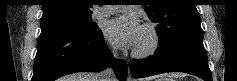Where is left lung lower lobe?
I'll list each match as a JSON object with an SVG mask.
<instances>
[{"label": "left lung lower lobe", "instance_id": "obj_1", "mask_svg": "<svg viewBox=\"0 0 237 81\" xmlns=\"http://www.w3.org/2000/svg\"><path fill=\"white\" fill-rule=\"evenodd\" d=\"M135 78L179 71L212 81L203 34L182 37L172 43L159 46L154 55L129 63Z\"/></svg>", "mask_w": 237, "mask_h": 81}]
</instances>
